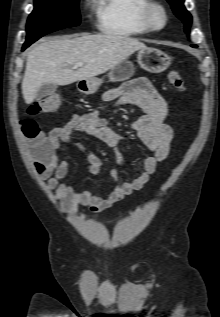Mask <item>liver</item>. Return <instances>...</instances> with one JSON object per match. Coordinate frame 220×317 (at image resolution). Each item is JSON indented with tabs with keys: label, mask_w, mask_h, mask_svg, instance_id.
<instances>
[{
	"label": "liver",
	"mask_w": 220,
	"mask_h": 317,
	"mask_svg": "<svg viewBox=\"0 0 220 317\" xmlns=\"http://www.w3.org/2000/svg\"><path fill=\"white\" fill-rule=\"evenodd\" d=\"M147 48L137 39L120 35H88L56 38L33 46L27 56L22 94L31 104L42 85H69L114 68L135 51ZM82 62L78 70L72 67Z\"/></svg>",
	"instance_id": "1"
}]
</instances>
